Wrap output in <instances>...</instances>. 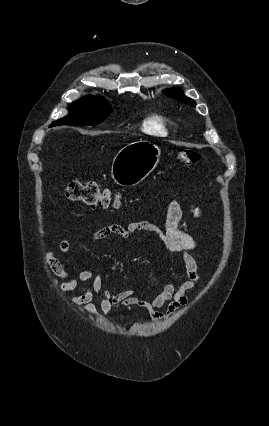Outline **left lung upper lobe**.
Here are the masks:
<instances>
[{
    "label": "left lung upper lobe",
    "instance_id": "left-lung-upper-lobe-1",
    "mask_svg": "<svg viewBox=\"0 0 269 426\" xmlns=\"http://www.w3.org/2000/svg\"><path fill=\"white\" fill-rule=\"evenodd\" d=\"M164 94L173 97L181 102L188 103L192 106H196V103L191 98H188L183 95L182 91L180 89H167L163 91Z\"/></svg>",
    "mask_w": 269,
    "mask_h": 426
}]
</instances>
